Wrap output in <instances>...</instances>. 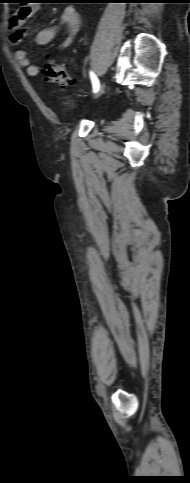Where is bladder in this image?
<instances>
[{
    "instance_id": "bladder-1",
    "label": "bladder",
    "mask_w": 190,
    "mask_h": 483,
    "mask_svg": "<svg viewBox=\"0 0 190 483\" xmlns=\"http://www.w3.org/2000/svg\"><path fill=\"white\" fill-rule=\"evenodd\" d=\"M60 105L63 107V108H67V109H71L75 106V104L73 103L72 100L70 99H62L60 101Z\"/></svg>"
}]
</instances>
